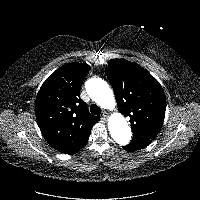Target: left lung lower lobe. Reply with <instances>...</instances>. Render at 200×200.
Instances as JSON below:
<instances>
[{"instance_id": "obj_1", "label": "left lung lower lobe", "mask_w": 200, "mask_h": 200, "mask_svg": "<svg viewBox=\"0 0 200 200\" xmlns=\"http://www.w3.org/2000/svg\"><path fill=\"white\" fill-rule=\"evenodd\" d=\"M123 148H124L126 151H129V152L135 151V150H133L129 145L123 146Z\"/></svg>"}]
</instances>
